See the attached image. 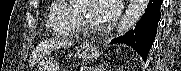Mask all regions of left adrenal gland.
Returning a JSON list of instances; mask_svg holds the SVG:
<instances>
[{"instance_id": "1", "label": "left adrenal gland", "mask_w": 181, "mask_h": 71, "mask_svg": "<svg viewBox=\"0 0 181 71\" xmlns=\"http://www.w3.org/2000/svg\"><path fill=\"white\" fill-rule=\"evenodd\" d=\"M103 69H104V65L103 64H100V66L99 67H95V68H90L89 70L90 71H103Z\"/></svg>"}]
</instances>
